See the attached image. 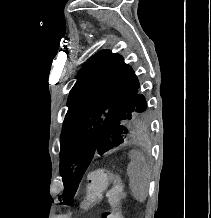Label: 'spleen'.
Returning <instances> with one entry per match:
<instances>
[{"label":"spleen","instance_id":"spleen-1","mask_svg":"<svg viewBox=\"0 0 211 218\" xmlns=\"http://www.w3.org/2000/svg\"><path fill=\"white\" fill-rule=\"evenodd\" d=\"M130 160L127 168L130 190L138 202H145L148 194V166L145 158L135 150L130 152Z\"/></svg>","mask_w":211,"mask_h":218}]
</instances>
